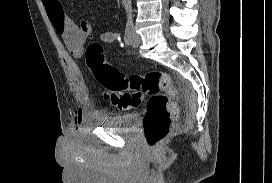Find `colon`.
<instances>
[{
    "label": "colon",
    "mask_w": 272,
    "mask_h": 183,
    "mask_svg": "<svg viewBox=\"0 0 272 183\" xmlns=\"http://www.w3.org/2000/svg\"><path fill=\"white\" fill-rule=\"evenodd\" d=\"M86 61L103 96L120 110L137 107L144 94L150 96L144 119V134L150 147L157 146L170 132L177 116V90L171 76L162 71L144 75L126 74L105 62L103 47L91 43Z\"/></svg>",
    "instance_id": "1"
}]
</instances>
